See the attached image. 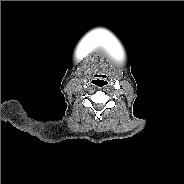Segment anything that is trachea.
<instances>
[{
    "mask_svg": "<svg viewBox=\"0 0 184 184\" xmlns=\"http://www.w3.org/2000/svg\"><path fill=\"white\" fill-rule=\"evenodd\" d=\"M92 83H93V85H95L98 88H102V87H104V86H106L108 84V82L106 81V79H101V78L94 79L92 81Z\"/></svg>",
    "mask_w": 184,
    "mask_h": 184,
    "instance_id": "trachea-1",
    "label": "trachea"
}]
</instances>
